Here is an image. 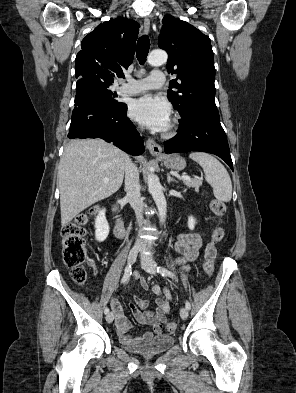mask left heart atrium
<instances>
[{
    "label": "left heart atrium",
    "instance_id": "1",
    "mask_svg": "<svg viewBox=\"0 0 296 393\" xmlns=\"http://www.w3.org/2000/svg\"><path fill=\"white\" fill-rule=\"evenodd\" d=\"M129 112L132 118L154 131H164L170 122V106L161 98L145 94L132 101Z\"/></svg>",
    "mask_w": 296,
    "mask_h": 393
}]
</instances>
